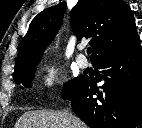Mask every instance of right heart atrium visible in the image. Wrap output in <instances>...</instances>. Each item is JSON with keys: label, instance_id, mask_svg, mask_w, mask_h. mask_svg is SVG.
I'll return each mask as SVG.
<instances>
[{"label": "right heart atrium", "instance_id": "d8ad5b80", "mask_svg": "<svg viewBox=\"0 0 142 128\" xmlns=\"http://www.w3.org/2000/svg\"><path fill=\"white\" fill-rule=\"evenodd\" d=\"M38 82L41 89L52 91L59 83V68L55 60L48 59L38 73Z\"/></svg>", "mask_w": 142, "mask_h": 128}]
</instances>
